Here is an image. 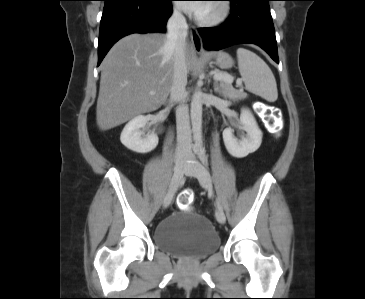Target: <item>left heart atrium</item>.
<instances>
[{
    "label": "left heart atrium",
    "mask_w": 365,
    "mask_h": 299,
    "mask_svg": "<svg viewBox=\"0 0 365 299\" xmlns=\"http://www.w3.org/2000/svg\"><path fill=\"white\" fill-rule=\"evenodd\" d=\"M192 2H198V3L183 4L184 9L187 12L192 13L196 16H201L206 10L208 4L204 3L205 1H192Z\"/></svg>",
    "instance_id": "39dd6f15"
}]
</instances>
